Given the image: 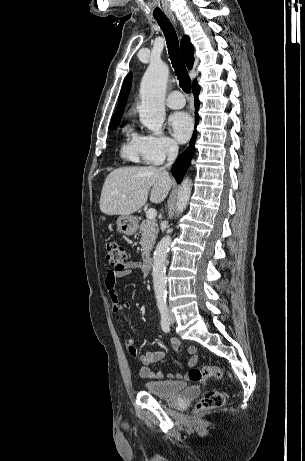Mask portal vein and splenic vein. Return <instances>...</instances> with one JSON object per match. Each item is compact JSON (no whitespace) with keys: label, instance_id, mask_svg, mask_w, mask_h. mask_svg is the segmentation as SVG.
Wrapping results in <instances>:
<instances>
[{"label":"portal vein and splenic vein","instance_id":"obj_1","mask_svg":"<svg viewBox=\"0 0 305 461\" xmlns=\"http://www.w3.org/2000/svg\"><path fill=\"white\" fill-rule=\"evenodd\" d=\"M156 216H157V211L155 209L150 208V209L147 210V212H146L147 219L153 220V219L156 218Z\"/></svg>","mask_w":305,"mask_h":461}]
</instances>
